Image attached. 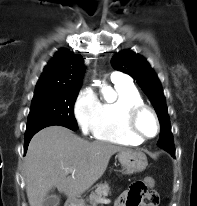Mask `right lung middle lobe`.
<instances>
[{
  "mask_svg": "<svg viewBox=\"0 0 197 206\" xmlns=\"http://www.w3.org/2000/svg\"><path fill=\"white\" fill-rule=\"evenodd\" d=\"M79 90L35 91L28 116L25 137L41 129L59 125L73 131L78 129L73 107Z\"/></svg>",
  "mask_w": 197,
  "mask_h": 206,
  "instance_id": "right-lung-middle-lobe-1",
  "label": "right lung middle lobe"
}]
</instances>
